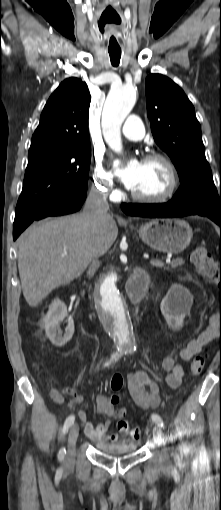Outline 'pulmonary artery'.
<instances>
[{
  "label": "pulmonary artery",
  "mask_w": 221,
  "mask_h": 510,
  "mask_svg": "<svg viewBox=\"0 0 221 510\" xmlns=\"http://www.w3.org/2000/svg\"><path fill=\"white\" fill-rule=\"evenodd\" d=\"M122 134L130 140H140L144 137L145 128L141 119L136 115H130L122 128Z\"/></svg>",
  "instance_id": "1"
}]
</instances>
